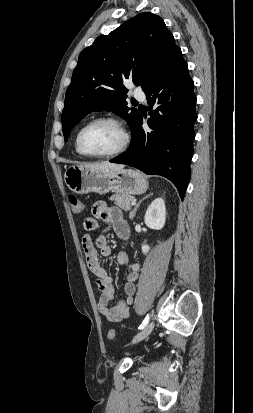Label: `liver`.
Listing matches in <instances>:
<instances>
[{"label":"liver","mask_w":253,"mask_h":413,"mask_svg":"<svg viewBox=\"0 0 253 413\" xmlns=\"http://www.w3.org/2000/svg\"><path fill=\"white\" fill-rule=\"evenodd\" d=\"M81 167L91 169V170H100V171H116L121 170L124 168L123 164H116L110 162H101V163H94V164H82Z\"/></svg>","instance_id":"liver-1"}]
</instances>
